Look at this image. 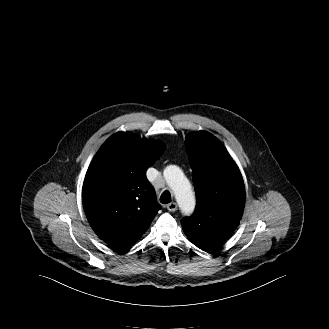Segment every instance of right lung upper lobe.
Returning <instances> with one entry per match:
<instances>
[{"mask_svg": "<svg viewBox=\"0 0 329 329\" xmlns=\"http://www.w3.org/2000/svg\"><path fill=\"white\" fill-rule=\"evenodd\" d=\"M159 142L129 132L108 138L93 158L82 200L95 233L117 251H127L160 209L146 170L162 155Z\"/></svg>", "mask_w": 329, "mask_h": 329, "instance_id": "cb5924a9", "label": "right lung upper lobe"}]
</instances>
